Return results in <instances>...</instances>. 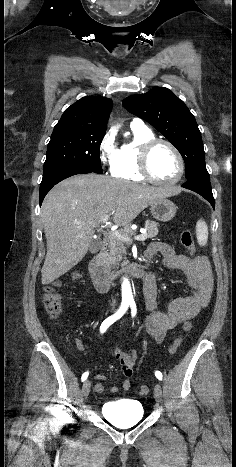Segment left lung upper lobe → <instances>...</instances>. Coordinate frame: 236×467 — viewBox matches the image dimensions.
<instances>
[{
  "instance_id": "5c2ea615",
  "label": "left lung upper lobe",
  "mask_w": 236,
  "mask_h": 467,
  "mask_svg": "<svg viewBox=\"0 0 236 467\" xmlns=\"http://www.w3.org/2000/svg\"><path fill=\"white\" fill-rule=\"evenodd\" d=\"M130 113L144 119L162 133L180 152L186 166V179L209 175L204 147L196 120L184 102L162 87L123 100Z\"/></svg>"
}]
</instances>
